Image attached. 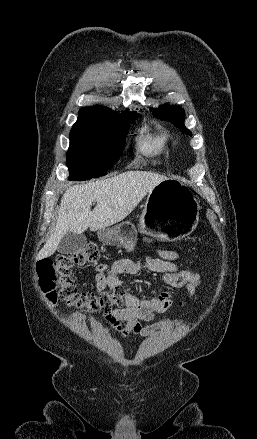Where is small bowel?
<instances>
[{
  "instance_id": "c3829d8e",
  "label": "small bowel",
  "mask_w": 257,
  "mask_h": 439,
  "mask_svg": "<svg viewBox=\"0 0 257 439\" xmlns=\"http://www.w3.org/2000/svg\"><path fill=\"white\" fill-rule=\"evenodd\" d=\"M151 241V240H149ZM158 258L138 264L130 260H122L114 263L111 267L100 264L96 267L94 278L97 290L108 287L110 290L121 285V275H140L142 273H177L179 271L175 261L179 259L176 251L158 249ZM189 295L195 292V285L186 286ZM173 304L170 292L152 293L147 298H140L128 294L125 305L115 308L104 314L105 320L122 337L140 336L149 337L157 335L153 327H145L141 321H153L157 319L156 314L167 312ZM78 316L77 319H80ZM75 319V320H77ZM124 321L125 326L120 322ZM163 324L165 322L163 321Z\"/></svg>"
}]
</instances>
